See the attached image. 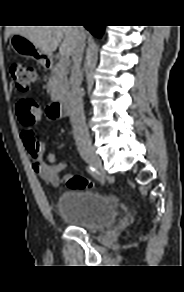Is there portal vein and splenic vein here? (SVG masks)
Returning a JSON list of instances; mask_svg holds the SVG:
<instances>
[{"label": "portal vein and splenic vein", "mask_w": 184, "mask_h": 292, "mask_svg": "<svg viewBox=\"0 0 184 292\" xmlns=\"http://www.w3.org/2000/svg\"><path fill=\"white\" fill-rule=\"evenodd\" d=\"M62 66H67V64H68V57H66V56H61V58H60V62H59Z\"/></svg>", "instance_id": "1"}]
</instances>
